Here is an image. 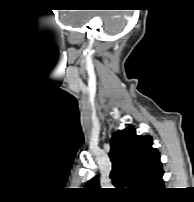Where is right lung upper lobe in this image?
<instances>
[{
	"label": "right lung upper lobe",
	"mask_w": 194,
	"mask_h": 202,
	"mask_svg": "<svg viewBox=\"0 0 194 202\" xmlns=\"http://www.w3.org/2000/svg\"><path fill=\"white\" fill-rule=\"evenodd\" d=\"M110 144V178L117 188L128 186L138 194L148 195L164 187L160 155L152 147L151 136H138L135 128L129 126L115 132ZM87 186L100 188L97 178L91 179Z\"/></svg>",
	"instance_id": "obj_1"
}]
</instances>
